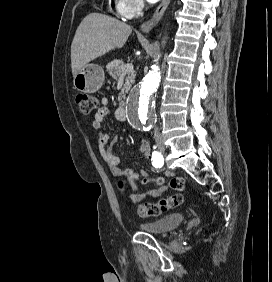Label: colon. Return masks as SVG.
Returning a JSON list of instances; mask_svg holds the SVG:
<instances>
[{
	"label": "colon",
	"mask_w": 272,
	"mask_h": 282,
	"mask_svg": "<svg viewBox=\"0 0 272 282\" xmlns=\"http://www.w3.org/2000/svg\"><path fill=\"white\" fill-rule=\"evenodd\" d=\"M77 105L82 113H91L97 106L96 99L86 93H79L76 96ZM144 182H147L144 179ZM159 184H163V179H158ZM120 188H123L124 183L122 180L118 181ZM169 185L171 188L176 190H183L185 188V180L180 177H173L169 180ZM182 204V196L180 194H174L166 198L160 199L156 203L145 202L142 203L138 208V214L142 217L158 216L165 211L179 207Z\"/></svg>",
	"instance_id": "1"
}]
</instances>
